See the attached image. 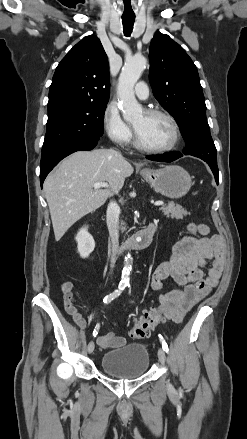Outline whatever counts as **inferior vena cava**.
<instances>
[{
    "instance_id": "1",
    "label": "inferior vena cava",
    "mask_w": 247,
    "mask_h": 439,
    "mask_svg": "<svg viewBox=\"0 0 247 439\" xmlns=\"http://www.w3.org/2000/svg\"><path fill=\"white\" fill-rule=\"evenodd\" d=\"M119 215L120 208L116 202L111 201L107 208L106 219L109 231V236L112 244L111 268L116 262V252L119 245Z\"/></svg>"
}]
</instances>
